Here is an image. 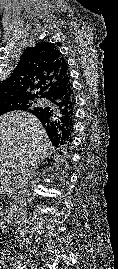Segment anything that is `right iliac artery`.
I'll return each mask as SVG.
<instances>
[{
    "label": "right iliac artery",
    "instance_id": "obj_1",
    "mask_svg": "<svg viewBox=\"0 0 118 269\" xmlns=\"http://www.w3.org/2000/svg\"><path fill=\"white\" fill-rule=\"evenodd\" d=\"M23 268H24V266L22 265V263L21 262H17L16 269H23Z\"/></svg>",
    "mask_w": 118,
    "mask_h": 269
}]
</instances>
